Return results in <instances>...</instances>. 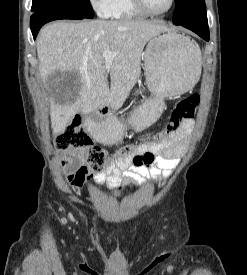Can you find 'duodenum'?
<instances>
[{"label": "duodenum", "instance_id": "1", "mask_svg": "<svg viewBox=\"0 0 247 275\" xmlns=\"http://www.w3.org/2000/svg\"><path fill=\"white\" fill-rule=\"evenodd\" d=\"M102 111L107 114L110 110V98L107 97L104 102H103V105H102Z\"/></svg>", "mask_w": 247, "mask_h": 275}]
</instances>
